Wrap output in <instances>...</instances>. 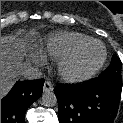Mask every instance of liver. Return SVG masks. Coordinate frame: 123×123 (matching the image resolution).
Wrapping results in <instances>:
<instances>
[{"label": "liver", "mask_w": 123, "mask_h": 123, "mask_svg": "<svg viewBox=\"0 0 123 123\" xmlns=\"http://www.w3.org/2000/svg\"><path fill=\"white\" fill-rule=\"evenodd\" d=\"M22 34V36H19ZM33 32L19 29L15 35L1 37V98L12 88L25 68L24 58Z\"/></svg>", "instance_id": "obj_1"}]
</instances>
